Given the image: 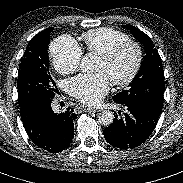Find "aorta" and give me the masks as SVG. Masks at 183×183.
<instances>
[{
    "mask_svg": "<svg viewBox=\"0 0 183 183\" xmlns=\"http://www.w3.org/2000/svg\"><path fill=\"white\" fill-rule=\"evenodd\" d=\"M95 67V57L93 54H86L80 63V68L83 72H92ZM99 122L104 126H109L114 121V114L110 110H104L99 114Z\"/></svg>",
    "mask_w": 183,
    "mask_h": 183,
    "instance_id": "aorta-1",
    "label": "aorta"
}]
</instances>
